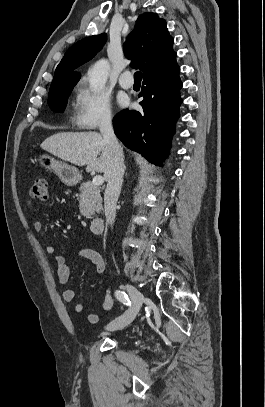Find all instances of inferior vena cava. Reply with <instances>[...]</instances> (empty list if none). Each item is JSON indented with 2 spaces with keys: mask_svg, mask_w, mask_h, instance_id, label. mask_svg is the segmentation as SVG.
<instances>
[{
  "mask_svg": "<svg viewBox=\"0 0 265 407\" xmlns=\"http://www.w3.org/2000/svg\"><path fill=\"white\" fill-rule=\"evenodd\" d=\"M100 132L104 141L112 149L114 164L112 172L107 180V187L104 193V208L107 223L112 225L116 217V203L121 191L124 175V155L113 130L111 115H105L100 123Z\"/></svg>",
  "mask_w": 265,
  "mask_h": 407,
  "instance_id": "1",
  "label": "inferior vena cava"
}]
</instances>
